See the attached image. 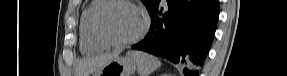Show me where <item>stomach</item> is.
<instances>
[{
    "label": "stomach",
    "mask_w": 287,
    "mask_h": 76,
    "mask_svg": "<svg viewBox=\"0 0 287 76\" xmlns=\"http://www.w3.org/2000/svg\"><path fill=\"white\" fill-rule=\"evenodd\" d=\"M137 63L130 56L116 57L109 60L95 76H132L136 71Z\"/></svg>",
    "instance_id": "0dacf381"
}]
</instances>
